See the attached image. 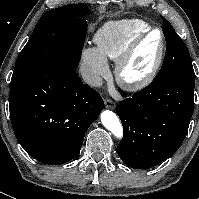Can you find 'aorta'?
I'll return each mask as SVG.
<instances>
[{
	"label": "aorta",
	"mask_w": 199,
	"mask_h": 199,
	"mask_svg": "<svg viewBox=\"0 0 199 199\" xmlns=\"http://www.w3.org/2000/svg\"><path fill=\"white\" fill-rule=\"evenodd\" d=\"M102 125L109 130L114 136L121 139L123 137V128L117 115L109 110L101 113Z\"/></svg>",
	"instance_id": "1"
}]
</instances>
